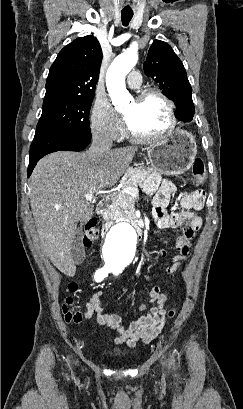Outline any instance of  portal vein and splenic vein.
Returning <instances> with one entry per match:
<instances>
[{"mask_svg":"<svg viewBox=\"0 0 243 409\" xmlns=\"http://www.w3.org/2000/svg\"><path fill=\"white\" fill-rule=\"evenodd\" d=\"M126 193L130 194V195H136L138 193V188L137 187H129V188H124L123 189ZM85 200L86 201H94L95 197L92 194H86L85 195Z\"/></svg>","mask_w":243,"mask_h":409,"instance_id":"obj_1","label":"portal vein and splenic vein"}]
</instances>
